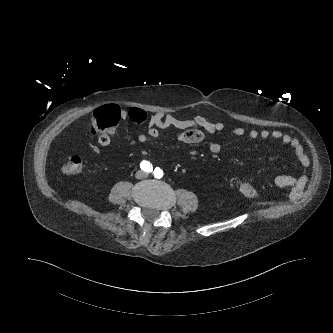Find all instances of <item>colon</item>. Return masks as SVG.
Wrapping results in <instances>:
<instances>
[{
    "mask_svg": "<svg viewBox=\"0 0 333 333\" xmlns=\"http://www.w3.org/2000/svg\"><path fill=\"white\" fill-rule=\"evenodd\" d=\"M120 119V109L118 106L110 104L95 110L90 121L91 127L96 133L112 131ZM68 174H79L83 171V162L79 155L70 154L63 167ZM241 193L248 198H256L258 192L250 182H243L240 186Z\"/></svg>",
    "mask_w": 333,
    "mask_h": 333,
    "instance_id": "5ec220e1",
    "label": "colon"
}]
</instances>
